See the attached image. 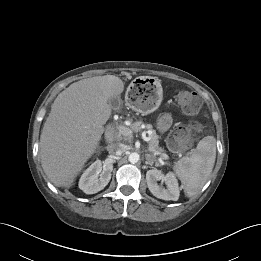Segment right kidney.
I'll return each instance as SVG.
<instances>
[{
  "label": "right kidney",
  "instance_id": "ca27d5eb",
  "mask_svg": "<svg viewBox=\"0 0 261 261\" xmlns=\"http://www.w3.org/2000/svg\"><path fill=\"white\" fill-rule=\"evenodd\" d=\"M113 165L108 160H96L82 174L79 180V188L86 194H94L109 183Z\"/></svg>",
  "mask_w": 261,
  "mask_h": 261
}]
</instances>
